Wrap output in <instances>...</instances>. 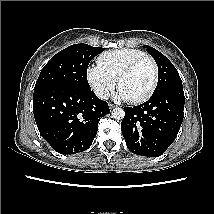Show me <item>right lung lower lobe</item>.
Masks as SVG:
<instances>
[{
	"label": "right lung lower lobe",
	"mask_w": 214,
	"mask_h": 214,
	"mask_svg": "<svg viewBox=\"0 0 214 214\" xmlns=\"http://www.w3.org/2000/svg\"><path fill=\"white\" fill-rule=\"evenodd\" d=\"M33 112L47 143L59 153L75 154L91 146L100 118L110 110L91 90L46 85L34 90Z\"/></svg>",
	"instance_id": "obj_1"
}]
</instances>
